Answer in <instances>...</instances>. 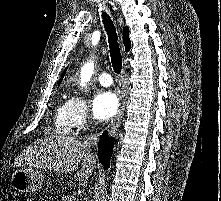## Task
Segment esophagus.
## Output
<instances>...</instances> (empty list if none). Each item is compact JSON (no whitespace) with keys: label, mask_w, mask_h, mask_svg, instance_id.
Returning <instances> with one entry per match:
<instances>
[{"label":"esophagus","mask_w":221,"mask_h":201,"mask_svg":"<svg viewBox=\"0 0 221 201\" xmlns=\"http://www.w3.org/2000/svg\"><path fill=\"white\" fill-rule=\"evenodd\" d=\"M125 80V69L122 71V81L124 83ZM125 111V93H124V84L122 85L121 91H120V108L117 112V115L112 120L110 127H109V134H115L120 126L121 119L124 115Z\"/></svg>","instance_id":"obj_1"}]
</instances>
